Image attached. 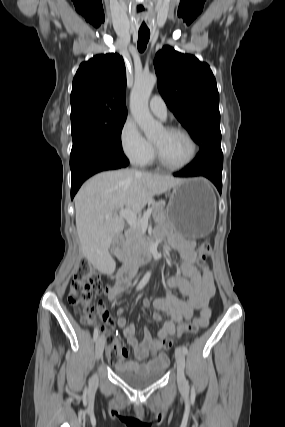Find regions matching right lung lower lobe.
I'll use <instances>...</instances> for the list:
<instances>
[{"instance_id": "obj_1", "label": "right lung lower lobe", "mask_w": 285, "mask_h": 427, "mask_svg": "<svg viewBox=\"0 0 285 427\" xmlns=\"http://www.w3.org/2000/svg\"><path fill=\"white\" fill-rule=\"evenodd\" d=\"M128 164L129 161L125 155H116L102 150H92L85 153L71 167V198L73 199L81 184L90 176L101 171L126 167Z\"/></svg>"}]
</instances>
